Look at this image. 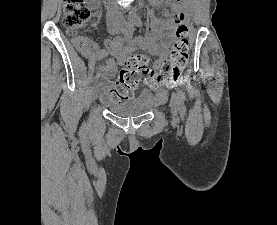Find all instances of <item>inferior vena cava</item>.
Listing matches in <instances>:
<instances>
[{
    "label": "inferior vena cava",
    "mask_w": 277,
    "mask_h": 225,
    "mask_svg": "<svg viewBox=\"0 0 277 225\" xmlns=\"http://www.w3.org/2000/svg\"><path fill=\"white\" fill-rule=\"evenodd\" d=\"M109 4L114 7L115 9H119V7L116 5L115 0H109ZM119 18L122 23H124V18L121 13H119Z\"/></svg>",
    "instance_id": "obj_1"
}]
</instances>
